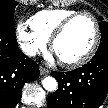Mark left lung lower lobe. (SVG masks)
<instances>
[{
  "instance_id": "0a47b994",
  "label": "left lung lower lobe",
  "mask_w": 108,
  "mask_h": 108,
  "mask_svg": "<svg viewBox=\"0 0 108 108\" xmlns=\"http://www.w3.org/2000/svg\"><path fill=\"white\" fill-rule=\"evenodd\" d=\"M52 75L58 90L48 97V108H98L108 94V55H94L76 70Z\"/></svg>"
}]
</instances>
